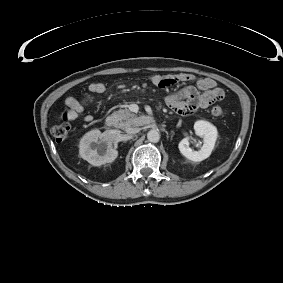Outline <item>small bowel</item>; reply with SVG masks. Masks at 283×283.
Here are the masks:
<instances>
[{
    "label": "small bowel",
    "mask_w": 283,
    "mask_h": 283,
    "mask_svg": "<svg viewBox=\"0 0 283 283\" xmlns=\"http://www.w3.org/2000/svg\"><path fill=\"white\" fill-rule=\"evenodd\" d=\"M194 76L186 73H180L171 77H163L159 74L149 76V82L154 86L168 87L178 82H190ZM88 90L94 94H102L105 91V85L101 82H92L88 85ZM225 96L224 91L219 88L216 82L208 77L199 78L195 86H186L176 93L165 97V104L179 112L180 114H191L197 109L207 108L210 104L222 100ZM66 112L63 118L67 121L77 120L84 112L83 105L74 97L65 99ZM85 122H92L93 116L88 114L84 116Z\"/></svg>",
    "instance_id": "1"
}]
</instances>
